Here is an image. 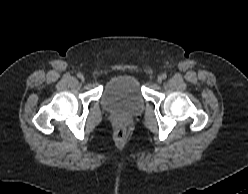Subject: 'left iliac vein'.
Wrapping results in <instances>:
<instances>
[{"mask_svg": "<svg viewBox=\"0 0 248 194\" xmlns=\"http://www.w3.org/2000/svg\"><path fill=\"white\" fill-rule=\"evenodd\" d=\"M157 81H158V83H161V82H162V77L159 76V77L157 78Z\"/></svg>", "mask_w": 248, "mask_h": 194, "instance_id": "left-iliac-vein-1", "label": "left iliac vein"}]
</instances>
